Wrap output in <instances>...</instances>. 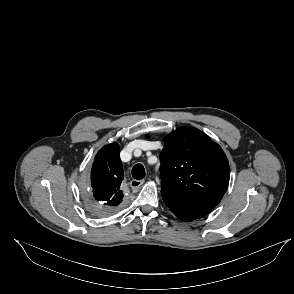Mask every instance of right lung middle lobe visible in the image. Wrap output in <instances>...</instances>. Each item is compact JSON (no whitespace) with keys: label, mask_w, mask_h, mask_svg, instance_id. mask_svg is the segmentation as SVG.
<instances>
[{"label":"right lung middle lobe","mask_w":294,"mask_h":294,"mask_svg":"<svg viewBox=\"0 0 294 294\" xmlns=\"http://www.w3.org/2000/svg\"><path fill=\"white\" fill-rule=\"evenodd\" d=\"M95 205H94V203L92 202V204H91V208L93 209V210H95Z\"/></svg>","instance_id":"1"}]
</instances>
